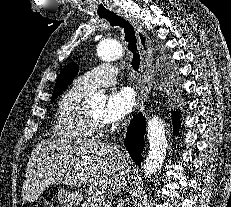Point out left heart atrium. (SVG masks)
Instances as JSON below:
<instances>
[{
	"label": "left heart atrium",
	"instance_id": "1",
	"mask_svg": "<svg viewBox=\"0 0 231 207\" xmlns=\"http://www.w3.org/2000/svg\"><path fill=\"white\" fill-rule=\"evenodd\" d=\"M135 101V92L130 87L112 90L104 109L103 120L112 124L120 122L132 111Z\"/></svg>",
	"mask_w": 231,
	"mask_h": 207
}]
</instances>
